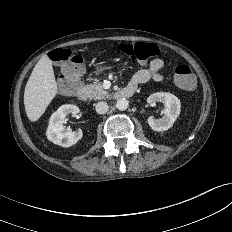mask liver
Returning a JSON list of instances; mask_svg holds the SVG:
<instances>
[{
    "instance_id": "6515ba94",
    "label": "liver",
    "mask_w": 232,
    "mask_h": 232,
    "mask_svg": "<svg viewBox=\"0 0 232 232\" xmlns=\"http://www.w3.org/2000/svg\"><path fill=\"white\" fill-rule=\"evenodd\" d=\"M57 90L52 62L45 55L35 65L25 87L24 106L30 121L35 122L43 115Z\"/></svg>"
}]
</instances>
